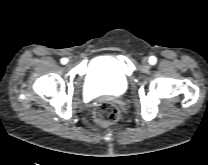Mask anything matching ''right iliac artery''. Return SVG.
Wrapping results in <instances>:
<instances>
[{
    "label": "right iliac artery",
    "mask_w": 208,
    "mask_h": 165,
    "mask_svg": "<svg viewBox=\"0 0 208 165\" xmlns=\"http://www.w3.org/2000/svg\"><path fill=\"white\" fill-rule=\"evenodd\" d=\"M67 62H68L67 58H62V59H61V63H62V64H66Z\"/></svg>",
    "instance_id": "right-iliac-artery-1"
}]
</instances>
